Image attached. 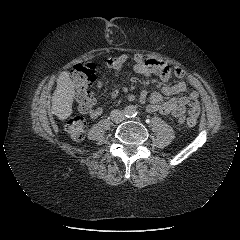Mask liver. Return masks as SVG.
Listing matches in <instances>:
<instances>
[{"label":"liver","instance_id":"6515ba94","mask_svg":"<svg viewBox=\"0 0 240 240\" xmlns=\"http://www.w3.org/2000/svg\"><path fill=\"white\" fill-rule=\"evenodd\" d=\"M57 87L52 96L51 111L60 120L67 119L72 114L74 85L67 72H62L57 79Z\"/></svg>","mask_w":240,"mask_h":240}]
</instances>
